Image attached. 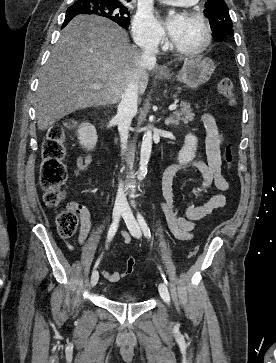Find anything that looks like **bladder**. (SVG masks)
<instances>
[{
  "label": "bladder",
  "instance_id": "1",
  "mask_svg": "<svg viewBox=\"0 0 276 363\" xmlns=\"http://www.w3.org/2000/svg\"><path fill=\"white\" fill-rule=\"evenodd\" d=\"M120 300L124 303H136L139 301L138 298L134 297V296H131L129 294H125L123 295Z\"/></svg>",
  "mask_w": 276,
  "mask_h": 363
}]
</instances>
